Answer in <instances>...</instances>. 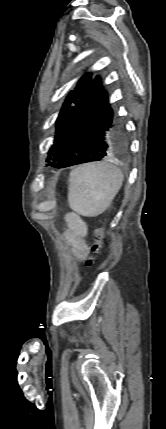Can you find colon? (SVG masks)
Here are the masks:
<instances>
[{"label": "colon", "instance_id": "obj_1", "mask_svg": "<svg viewBox=\"0 0 166 429\" xmlns=\"http://www.w3.org/2000/svg\"><path fill=\"white\" fill-rule=\"evenodd\" d=\"M95 234H96V241H95V243L92 246V255L90 257H88L86 259V262H85V264H86L87 267H90V266H92L94 264V261H95L94 255L97 254V253H99L101 251V248H102V238L104 236V228L103 227L98 228L96 230Z\"/></svg>", "mask_w": 166, "mask_h": 429}]
</instances>
